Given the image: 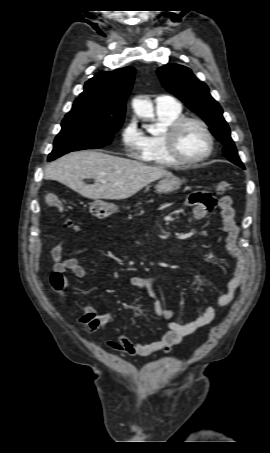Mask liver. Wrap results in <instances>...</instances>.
Masks as SVG:
<instances>
[{
	"label": "liver",
	"mask_w": 270,
	"mask_h": 453,
	"mask_svg": "<svg viewBox=\"0 0 270 453\" xmlns=\"http://www.w3.org/2000/svg\"><path fill=\"white\" fill-rule=\"evenodd\" d=\"M172 174L161 166H149L93 150L71 152L51 162L46 179L58 181L88 199H126L148 184ZM94 179L86 185L84 179ZM100 180H106L103 184Z\"/></svg>",
	"instance_id": "liver-1"
}]
</instances>
